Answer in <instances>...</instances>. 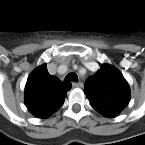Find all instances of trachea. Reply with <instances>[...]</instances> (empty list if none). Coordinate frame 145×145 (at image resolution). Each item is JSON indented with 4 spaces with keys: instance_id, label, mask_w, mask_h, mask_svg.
<instances>
[{
    "instance_id": "1",
    "label": "trachea",
    "mask_w": 145,
    "mask_h": 145,
    "mask_svg": "<svg viewBox=\"0 0 145 145\" xmlns=\"http://www.w3.org/2000/svg\"><path fill=\"white\" fill-rule=\"evenodd\" d=\"M65 80H73V81L78 82V76L76 73L72 72L66 75Z\"/></svg>"
}]
</instances>
